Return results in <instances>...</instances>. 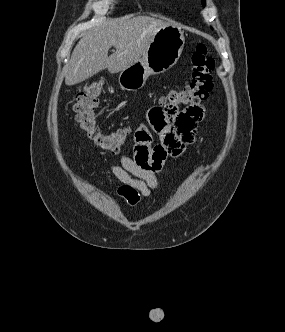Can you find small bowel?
Listing matches in <instances>:
<instances>
[{"instance_id": "small-bowel-1", "label": "small bowel", "mask_w": 285, "mask_h": 332, "mask_svg": "<svg viewBox=\"0 0 285 332\" xmlns=\"http://www.w3.org/2000/svg\"><path fill=\"white\" fill-rule=\"evenodd\" d=\"M165 106H148L147 122L134 134V154L123 153L120 163L111 171L120 183L118 194L130 205L141 198L150 199L160 189L162 166L168 156L180 155L194 141L197 125L205 117V109L195 105L182 111L172 98H165ZM152 133H158L160 142L153 144Z\"/></svg>"}]
</instances>
